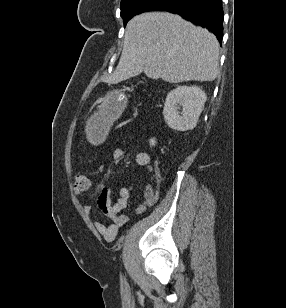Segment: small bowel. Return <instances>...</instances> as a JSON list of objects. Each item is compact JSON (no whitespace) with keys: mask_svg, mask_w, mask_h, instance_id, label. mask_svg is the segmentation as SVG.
<instances>
[{"mask_svg":"<svg viewBox=\"0 0 286 308\" xmlns=\"http://www.w3.org/2000/svg\"><path fill=\"white\" fill-rule=\"evenodd\" d=\"M141 129L146 133H151L148 141L149 149L156 147L158 139L153 133L154 126L150 122H144L141 124ZM124 156V150L118 148L114 152L115 159H120ZM136 163L141 167H147L150 171L152 170L150 164V153L147 151L140 152L136 155ZM160 175L155 176V182H160ZM130 191L127 187H121L118 190L117 198L115 202H111L109 191L104 187L99 195L97 205H85L83 211L86 214H91L96 208L100 209L108 218L111 219L109 224L96 221L94 226L96 230L108 241L115 239L119 228L124 225L127 221V217L121 215L120 212L124 210L128 205ZM159 198V190L154 185H148L143 192V200L136 207V213L142 214L147 208L154 206Z\"/></svg>","mask_w":286,"mask_h":308,"instance_id":"obj_1","label":"small bowel"}]
</instances>
